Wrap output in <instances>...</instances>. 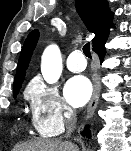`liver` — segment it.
<instances>
[{
    "mask_svg": "<svg viewBox=\"0 0 131 151\" xmlns=\"http://www.w3.org/2000/svg\"><path fill=\"white\" fill-rule=\"evenodd\" d=\"M13 151H78V147L67 141L43 139L20 144Z\"/></svg>",
    "mask_w": 131,
    "mask_h": 151,
    "instance_id": "liver-1",
    "label": "liver"
}]
</instances>
